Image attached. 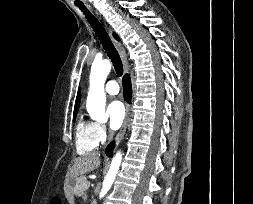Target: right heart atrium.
<instances>
[{"label":"right heart atrium","mask_w":253,"mask_h":204,"mask_svg":"<svg viewBox=\"0 0 253 204\" xmlns=\"http://www.w3.org/2000/svg\"><path fill=\"white\" fill-rule=\"evenodd\" d=\"M94 135L98 143L105 142L108 139V130L106 126L99 122H93Z\"/></svg>","instance_id":"right-heart-atrium-1"}]
</instances>
